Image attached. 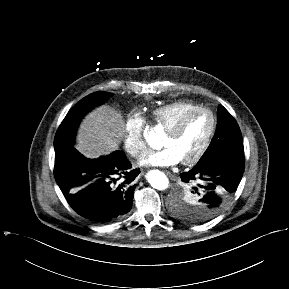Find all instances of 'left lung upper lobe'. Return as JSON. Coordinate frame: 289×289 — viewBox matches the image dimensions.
<instances>
[{
    "label": "left lung upper lobe",
    "mask_w": 289,
    "mask_h": 289,
    "mask_svg": "<svg viewBox=\"0 0 289 289\" xmlns=\"http://www.w3.org/2000/svg\"><path fill=\"white\" fill-rule=\"evenodd\" d=\"M217 128L212 141L197 164H202L218 157L228 155L244 156L243 140L240 128L231 114L223 107H218ZM172 213L187 222L201 223L208 221L200 215L201 206L191 189L180 188L171 203Z\"/></svg>",
    "instance_id": "left-lung-upper-lobe-1"
}]
</instances>
